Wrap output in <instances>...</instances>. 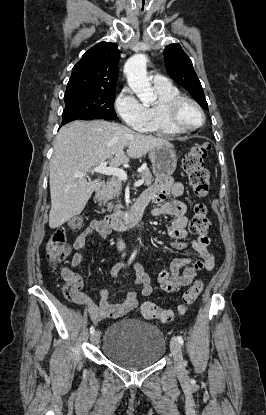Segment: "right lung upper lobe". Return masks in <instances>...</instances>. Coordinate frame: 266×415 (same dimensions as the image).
<instances>
[{
    "instance_id": "1",
    "label": "right lung upper lobe",
    "mask_w": 266,
    "mask_h": 415,
    "mask_svg": "<svg viewBox=\"0 0 266 415\" xmlns=\"http://www.w3.org/2000/svg\"><path fill=\"white\" fill-rule=\"evenodd\" d=\"M120 52L115 43L100 42L73 67L66 92L76 90H115Z\"/></svg>"
}]
</instances>
